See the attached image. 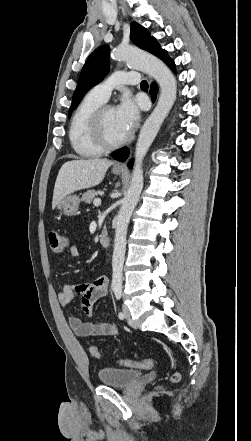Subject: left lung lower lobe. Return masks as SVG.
Returning <instances> with one entry per match:
<instances>
[{
  "instance_id": "1",
  "label": "left lung lower lobe",
  "mask_w": 251,
  "mask_h": 441,
  "mask_svg": "<svg viewBox=\"0 0 251 441\" xmlns=\"http://www.w3.org/2000/svg\"><path fill=\"white\" fill-rule=\"evenodd\" d=\"M173 71H175V64L174 61L169 58V56L167 55V53L161 58ZM158 92V87L156 85V83H152L151 88H150V93L152 94V99L153 101H155L156 98V94ZM129 155V150L126 147H123L119 150H117L115 152V154L113 155V158L116 160H119L121 162L125 161L127 159ZM133 165V160H131L128 164L129 168H132Z\"/></svg>"
}]
</instances>
